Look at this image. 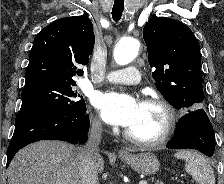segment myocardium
<instances>
[{
	"instance_id": "1",
	"label": "myocardium",
	"mask_w": 224,
	"mask_h": 184,
	"mask_svg": "<svg viewBox=\"0 0 224 184\" xmlns=\"http://www.w3.org/2000/svg\"><path fill=\"white\" fill-rule=\"evenodd\" d=\"M142 103L146 105L157 106L163 110L166 119L162 128V132L160 133L158 137L154 139L145 140V139H141L134 136L127 129L125 131V137L132 143H135L140 146H145V147H155V146L164 144L172 136L178 122V115L174 106L171 103H169L167 100L161 97H152V96H148L144 98L142 100Z\"/></svg>"
}]
</instances>
